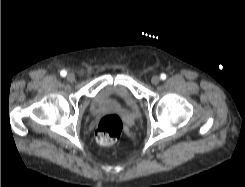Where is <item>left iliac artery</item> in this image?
I'll return each mask as SVG.
<instances>
[{
	"instance_id": "left-iliac-artery-1",
	"label": "left iliac artery",
	"mask_w": 245,
	"mask_h": 187,
	"mask_svg": "<svg viewBox=\"0 0 245 187\" xmlns=\"http://www.w3.org/2000/svg\"><path fill=\"white\" fill-rule=\"evenodd\" d=\"M160 77H161L162 80H165V79H166V74L162 73V74L160 75Z\"/></svg>"
}]
</instances>
